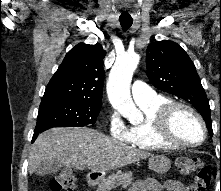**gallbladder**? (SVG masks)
<instances>
[{"mask_svg": "<svg viewBox=\"0 0 221 191\" xmlns=\"http://www.w3.org/2000/svg\"><path fill=\"white\" fill-rule=\"evenodd\" d=\"M62 168V164L55 159H48L39 164L35 170L38 176L51 175L57 173Z\"/></svg>", "mask_w": 221, "mask_h": 191, "instance_id": "gallbladder-1", "label": "gallbladder"}]
</instances>
